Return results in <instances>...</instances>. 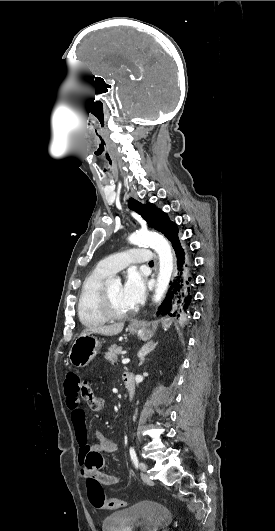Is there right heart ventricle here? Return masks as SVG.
<instances>
[{
    "label": "right heart ventricle",
    "instance_id": "right-heart-ventricle-1",
    "mask_svg": "<svg viewBox=\"0 0 275 531\" xmlns=\"http://www.w3.org/2000/svg\"><path fill=\"white\" fill-rule=\"evenodd\" d=\"M108 274L102 269L96 270L86 276L82 282L77 312L81 323L86 327L101 326L108 321L99 304L101 286Z\"/></svg>",
    "mask_w": 275,
    "mask_h": 531
}]
</instances>
